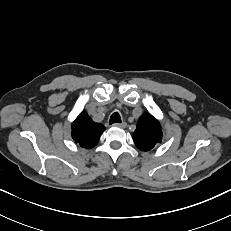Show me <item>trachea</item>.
Instances as JSON below:
<instances>
[{
	"label": "trachea",
	"mask_w": 231,
	"mask_h": 231,
	"mask_svg": "<svg viewBox=\"0 0 231 231\" xmlns=\"http://www.w3.org/2000/svg\"><path fill=\"white\" fill-rule=\"evenodd\" d=\"M109 123L110 125L113 123H121L120 115L117 112L113 113L110 117Z\"/></svg>",
	"instance_id": "obj_1"
}]
</instances>
